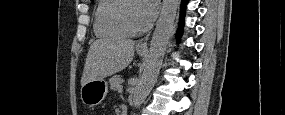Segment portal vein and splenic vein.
I'll return each mask as SVG.
<instances>
[{
  "label": "portal vein and splenic vein",
  "instance_id": "portal-vein-and-splenic-vein-1",
  "mask_svg": "<svg viewBox=\"0 0 285 115\" xmlns=\"http://www.w3.org/2000/svg\"><path fill=\"white\" fill-rule=\"evenodd\" d=\"M122 86H119L118 91L121 92L122 91Z\"/></svg>",
  "mask_w": 285,
  "mask_h": 115
}]
</instances>
